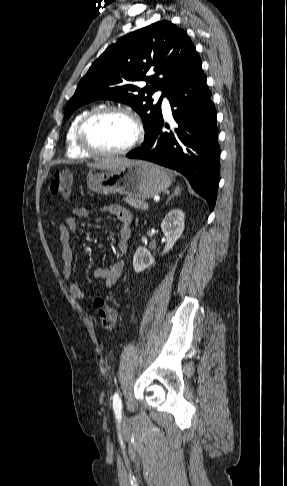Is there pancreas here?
Wrapping results in <instances>:
<instances>
[{
	"label": "pancreas",
	"instance_id": "obj_1",
	"mask_svg": "<svg viewBox=\"0 0 287 486\" xmlns=\"http://www.w3.org/2000/svg\"><path fill=\"white\" fill-rule=\"evenodd\" d=\"M125 201L131 205L133 208L137 209V210H142L143 209V205L145 204V202L141 199H134V198H131V197H126L125 198Z\"/></svg>",
	"mask_w": 287,
	"mask_h": 486
}]
</instances>
